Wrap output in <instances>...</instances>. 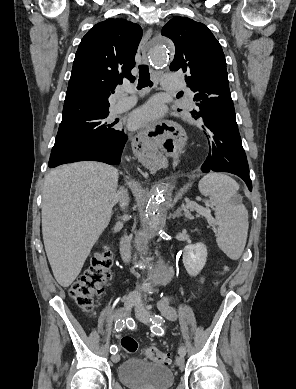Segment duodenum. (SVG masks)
I'll return each mask as SVG.
<instances>
[{"mask_svg": "<svg viewBox=\"0 0 296 389\" xmlns=\"http://www.w3.org/2000/svg\"><path fill=\"white\" fill-rule=\"evenodd\" d=\"M127 250H128V245H127V243L125 241H123L122 244H121V252H122V254H126Z\"/></svg>", "mask_w": 296, "mask_h": 389, "instance_id": "duodenum-1", "label": "duodenum"}]
</instances>
